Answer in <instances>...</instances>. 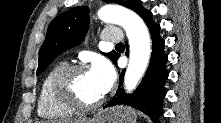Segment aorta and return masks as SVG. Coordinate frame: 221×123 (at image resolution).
Segmentation results:
<instances>
[{
    "label": "aorta",
    "instance_id": "aorta-1",
    "mask_svg": "<svg viewBox=\"0 0 221 123\" xmlns=\"http://www.w3.org/2000/svg\"><path fill=\"white\" fill-rule=\"evenodd\" d=\"M98 17L105 23L118 24L126 31L130 45V57L124 85L125 89L131 92L143 76L150 59L151 41L147 27L136 13L116 5L102 7L98 12Z\"/></svg>",
    "mask_w": 221,
    "mask_h": 123
}]
</instances>
